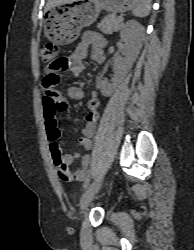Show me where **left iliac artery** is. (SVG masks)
<instances>
[{
	"label": "left iliac artery",
	"mask_w": 194,
	"mask_h": 250,
	"mask_svg": "<svg viewBox=\"0 0 194 250\" xmlns=\"http://www.w3.org/2000/svg\"><path fill=\"white\" fill-rule=\"evenodd\" d=\"M89 182H90V176H88L86 179H85V182H84V185L83 187L86 189L87 186L89 185Z\"/></svg>",
	"instance_id": "obj_1"
}]
</instances>
